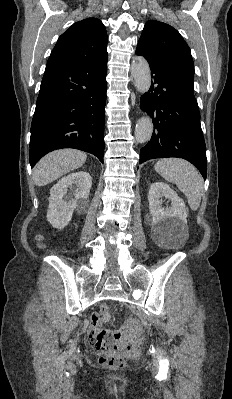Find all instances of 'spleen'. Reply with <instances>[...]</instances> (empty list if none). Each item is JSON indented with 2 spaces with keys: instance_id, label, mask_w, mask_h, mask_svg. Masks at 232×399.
<instances>
[{
  "instance_id": "obj_1",
  "label": "spleen",
  "mask_w": 232,
  "mask_h": 399,
  "mask_svg": "<svg viewBox=\"0 0 232 399\" xmlns=\"http://www.w3.org/2000/svg\"><path fill=\"white\" fill-rule=\"evenodd\" d=\"M154 168L164 180L176 184L178 190L186 196L191 209H198L203 192V178L195 166L186 160L168 158L156 162Z\"/></svg>"
}]
</instances>
